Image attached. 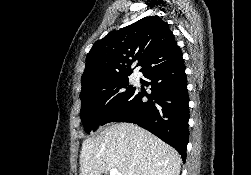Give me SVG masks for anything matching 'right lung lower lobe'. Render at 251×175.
<instances>
[{"mask_svg":"<svg viewBox=\"0 0 251 175\" xmlns=\"http://www.w3.org/2000/svg\"><path fill=\"white\" fill-rule=\"evenodd\" d=\"M151 94L134 90L123 98L104 118L109 122H130L150 131L174 147L186 159L189 140L188 92L183 59L144 74ZM144 96L148 101H143ZM151 96V97H150Z\"/></svg>","mask_w":251,"mask_h":175,"instance_id":"right-lung-lower-lobe-1","label":"right lung lower lobe"}]
</instances>
